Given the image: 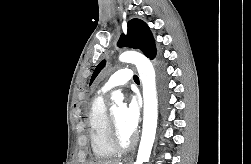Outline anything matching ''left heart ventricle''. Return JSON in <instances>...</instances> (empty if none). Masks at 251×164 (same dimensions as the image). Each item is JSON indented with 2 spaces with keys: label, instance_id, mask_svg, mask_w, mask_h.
Listing matches in <instances>:
<instances>
[{
  "label": "left heart ventricle",
  "instance_id": "1",
  "mask_svg": "<svg viewBox=\"0 0 251 164\" xmlns=\"http://www.w3.org/2000/svg\"><path fill=\"white\" fill-rule=\"evenodd\" d=\"M113 116L116 120V123L118 125L119 131L121 133V136L123 140H127L131 134L127 132V130L124 127V113H125V108L124 107H118L116 108L113 112Z\"/></svg>",
  "mask_w": 251,
  "mask_h": 164
}]
</instances>
